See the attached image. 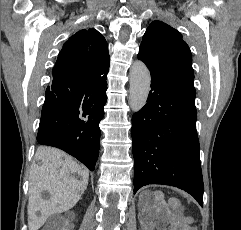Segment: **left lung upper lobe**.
<instances>
[{
  "label": "left lung upper lobe",
  "mask_w": 241,
  "mask_h": 230,
  "mask_svg": "<svg viewBox=\"0 0 241 230\" xmlns=\"http://www.w3.org/2000/svg\"><path fill=\"white\" fill-rule=\"evenodd\" d=\"M150 72L177 80L194 82L191 51L179 31L161 21H153L145 32L138 53Z\"/></svg>",
  "instance_id": "5c2ea615"
}]
</instances>
